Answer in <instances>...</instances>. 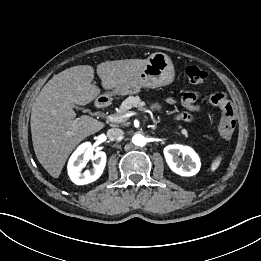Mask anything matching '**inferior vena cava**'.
I'll list each match as a JSON object with an SVG mask.
<instances>
[{
  "mask_svg": "<svg viewBox=\"0 0 261 261\" xmlns=\"http://www.w3.org/2000/svg\"><path fill=\"white\" fill-rule=\"evenodd\" d=\"M124 134L123 130L119 129V128H111L107 131V137L110 140H116L120 137H122Z\"/></svg>",
  "mask_w": 261,
  "mask_h": 261,
  "instance_id": "obj_1",
  "label": "inferior vena cava"
}]
</instances>
